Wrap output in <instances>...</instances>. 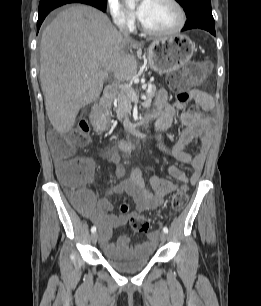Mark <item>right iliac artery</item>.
Instances as JSON below:
<instances>
[{
  "label": "right iliac artery",
  "instance_id": "82829eb1",
  "mask_svg": "<svg viewBox=\"0 0 261 306\" xmlns=\"http://www.w3.org/2000/svg\"><path fill=\"white\" fill-rule=\"evenodd\" d=\"M95 231H96V227L93 226V227L91 228V232L94 233Z\"/></svg>",
  "mask_w": 261,
  "mask_h": 306
}]
</instances>
